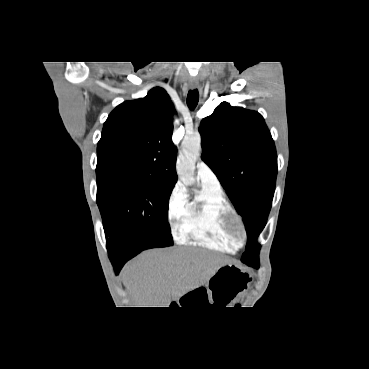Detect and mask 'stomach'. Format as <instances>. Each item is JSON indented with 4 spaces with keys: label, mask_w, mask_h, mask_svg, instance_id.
<instances>
[{
    "label": "stomach",
    "mask_w": 369,
    "mask_h": 369,
    "mask_svg": "<svg viewBox=\"0 0 369 369\" xmlns=\"http://www.w3.org/2000/svg\"><path fill=\"white\" fill-rule=\"evenodd\" d=\"M251 276L236 264L220 266L205 284L204 288L212 302L226 305L245 292Z\"/></svg>",
    "instance_id": "1"
}]
</instances>
